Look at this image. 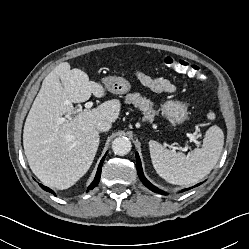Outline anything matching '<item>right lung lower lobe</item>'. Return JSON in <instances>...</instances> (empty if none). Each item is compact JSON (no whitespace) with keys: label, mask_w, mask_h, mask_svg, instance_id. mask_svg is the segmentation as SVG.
Masks as SVG:
<instances>
[{"label":"right lung lower lobe","mask_w":249,"mask_h":249,"mask_svg":"<svg viewBox=\"0 0 249 249\" xmlns=\"http://www.w3.org/2000/svg\"><path fill=\"white\" fill-rule=\"evenodd\" d=\"M105 157H106V155L102 158V160H101V162H100V164H99V167H98V170H97V174H96V176H95V179H94V181L90 184V186L88 187V190H92L95 186L98 185L99 180H100V176H101V168H102V164H103V161H104ZM40 187H41L42 189L48 191V192L53 193V191H52L51 189H49L48 187L43 186L42 184H40ZM88 190H87V191H88Z\"/></svg>","instance_id":"1"}]
</instances>
